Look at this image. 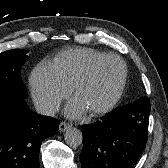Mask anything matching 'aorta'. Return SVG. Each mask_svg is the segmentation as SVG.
Returning <instances> with one entry per match:
<instances>
[{
  "label": "aorta",
  "mask_w": 168,
  "mask_h": 168,
  "mask_svg": "<svg viewBox=\"0 0 168 168\" xmlns=\"http://www.w3.org/2000/svg\"><path fill=\"white\" fill-rule=\"evenodd\" d=\"M82 139V132L77 128H69L64 135L66 144L73 148L79 146L82 143Z\"/></svg>",
  "instance_id": "762f6f07"
}]
</instances>
